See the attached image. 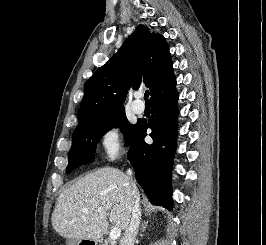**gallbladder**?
<instances>
[{"instance_id": "bac80fb5", "label": "gallbladder", "mask_w": 266, "mask_h": 245, "mask_svg": "<svg viewBox=\"0 0 266 245\" xmlns=\"http://www.w3.org/2000/svg\"><path fill=\"white\" fill-rule=\"evenodd\" d=\"M75 243V239H67V245H73Z\"/></svg>"}]
</instances>
